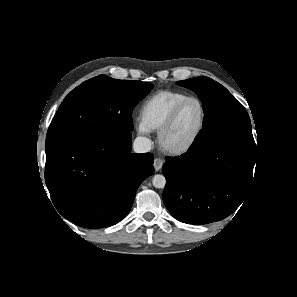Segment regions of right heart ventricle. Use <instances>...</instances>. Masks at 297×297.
Listing matches in <instances>:
<instances>
[{
    "label": "right heart ventricle",
    "instance_id": "obj_1",
    "mask_svg": "<svg viewBox=\"0 0 297 297\" xmlns=\"http://www.w3.org/2000/svg\"><path fill=\"white\" fill-rule=\"evenodd\" d=\"M188 97L190 96L179 91H159L142 104L140 121L148 131H158L172 110Z\"/></svg>",
    "mask_w": 297,
    "mask_h": 297
}]
</instances>
